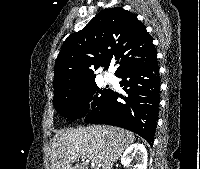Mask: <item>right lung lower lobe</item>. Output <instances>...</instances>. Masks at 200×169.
Returning <instances> with one entry per match:
<instances>
[{"label":"right lung lower lobe","instance_id":"obj_1","mask_svg":"<svg viewBox=\"0 0 200 169\" xmlns=\"http://www.w3.org/2000/svg\"><path fill=\"white\" fill-rule=\"evenodd\" d=\"M120 85L126 96L110 90L100 107L85 117L86 123L128 129L153 144L160 101L157 57L121 72ZM122 101H118V98Z\"/></svg>","mask_w":200,"mask_h":169}]
</instances>
